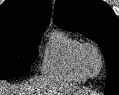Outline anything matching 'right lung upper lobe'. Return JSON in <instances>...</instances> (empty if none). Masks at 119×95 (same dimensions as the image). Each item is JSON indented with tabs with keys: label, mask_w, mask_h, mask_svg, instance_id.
Returning <instances> with one entry per match:
<instances>
[{
	"label": "right lung upper lobe",
	"mask_w": 119,
	"mask_h": 95,
	"mask_svg": "<svg viewBox=\"0 0 119 95\" xmlns=\"http://www.w3.org/2000/svg\"><path fill=\"white\" fill-rule=\"evenodd\" d=\"M51 11V0H6L0 6V34L20 29L45 30Z\"/></svg>",
	"instance_id": "right-lung-upper-lobe-1"
}]
</instances>
